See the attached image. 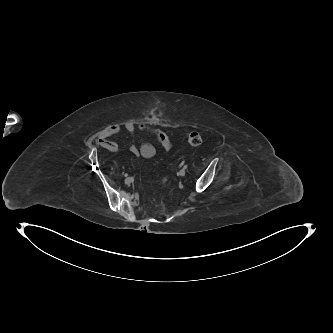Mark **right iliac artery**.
Listing matches in <instances>:
<instances>
[{"instance_id":"82829eb1","label":"right iliac artery","mask_w":333,"mask_h":333,"mask_svg":"<svg viewBox=\"0 0 333 333\" xmlns=\"http://www.w3.org/2000/svg\"><path fill=\"white\" fill-rule=\"evenodd\" d=\"M124 176L127 177L128 174H127V173H124ZM125 183L128 184V181L125 180Z\"/></svg>"}]
</instances>
